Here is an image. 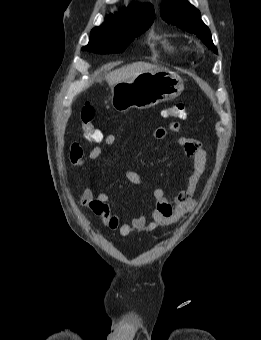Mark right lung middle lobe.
Segmentation results:
<instances>
[{"label":"right lung middle lobe","instance_id":"1","mask_svg":"<svg viewBox=\"0 0 261 340\" xmlns=\"http://www.w3.org/2000/svg\"><path fill=\"white\" fill-rule=\"evenodd\" d=\"M150 22L106 21L100 27L92 29L90 40L82 50L96 53H118L144 33L152 24Z\"/></svg>","mask_w":261,"mask_h":340}]
</instances>
